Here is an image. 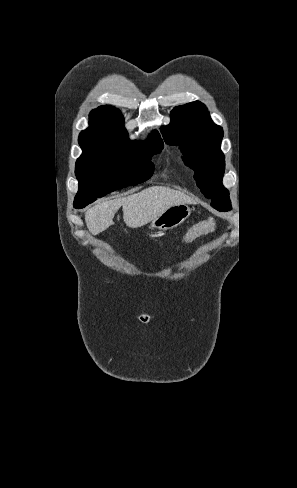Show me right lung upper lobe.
Returning <instances> with one entry per match:
<instances>
[{"instance_id": "cb5924a9", "label": "right lung upper lobe", "mask_w": 297, "mask_h": 488, "mask_svg": "<svg viewBox=\"0 0 297 488\" xmlns=\"http://www.w3.org/2000/svg\"><path fill=\"white\" fill-rule=\"evenodd\" d=\"M150 135L160 137L157 131ZM127 137L124 118L119 110L112 106H101L90 113V127L79 135L81 148L97 146L102 140Z\"/></svg>"}]
</instances>
